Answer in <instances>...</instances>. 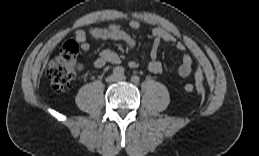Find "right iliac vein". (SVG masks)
<instances>
[{
  "label": "right iliac vein",
  "instance_id": "right-iliac-vein-1",
  "mask_svg": "<svg viewBox=\"0 0 259 156\" xmlns=\"http://www.w3.org/2000/svg\"><path fill=\"white\" fill-rule=\"evenodd\" d=\"M106 81H107L108 83L115 82V81H117V76H116V75H110V76H108V77L106 78Z\"/></svg>",
  "mask_w": 259,
  "mask_h": 156
}]
</instances>
